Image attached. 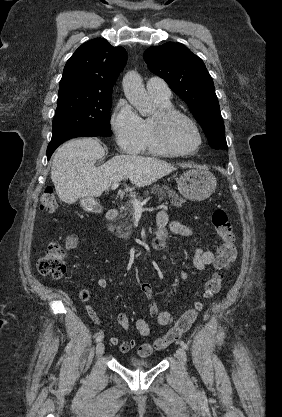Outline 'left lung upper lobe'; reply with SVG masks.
<instances>
[{
	"instance_id": "left-lung-upper-lobe-1",
	"label": "left lung upper lobe",
	"mask_w": 282,
	"mask_h": 417,
	"mask_svg": "<svg viewBox=\"0 0 282 417\" xmlns=\"http://www.w3.org/2000/svg\"><path fill=\"white\" fill-rule=\"evenodd\" d=\"M144 59L187 104L214 149H226L224 122L213 80L203 61L181 43L148 48Z\"/></svg>"
}]
</instances>
